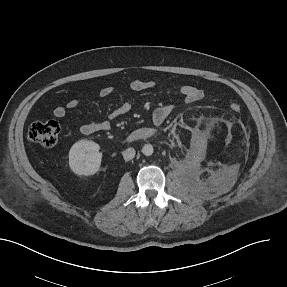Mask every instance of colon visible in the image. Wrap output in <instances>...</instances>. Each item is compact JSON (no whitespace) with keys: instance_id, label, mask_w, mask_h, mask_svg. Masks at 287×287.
I'll return each mask as SVG.
<instances>
[{"instance_id":"obj_1","label":"colon","mask_w":287,"mask_h":287,"mask_svg":"<svg viewBox=\"0 0 287 287\" xmlns=\"http://www.w3.org/2000/svg\"><path fill=\"white\" fill-rule=\"evenodd\" d=\"M228 106L230 111L234 113H239L242 110L241 103L236 99L230 100ZM59 132L60 128L57 122L37 121L29 126L28 137L32 142L50 148L57 143Z\"/></svg>"}]
</instances>
